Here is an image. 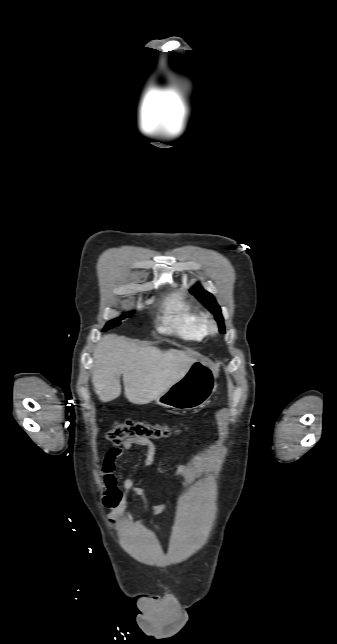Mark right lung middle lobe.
I'll list each match as a JSON object with an SVG mask.
<instances>
[{
  "label": "right lung middle lobe",
  "instance_id": "dd1d6c3e",
  "mask_svg": "<svg viewBox=\"0 0 337 644\" xmlns=\"http://www.w3.org/2000/svg\"><path fill=\"white\" fill-rule=\"evenodd\" d=\"M131 314H132V312L127 313V314H124V315H123V316H121L120 318H117V319H115V320H111V321L107 322V324L105 325V327H104V330H103V331H106V330H108V329H111V328H113V327H116V326L120 325V320H123L125 317H130V316H131Z\"/></svg>",
  "mask_w": 337,
  "mask_h": 644
}]
</instances>
